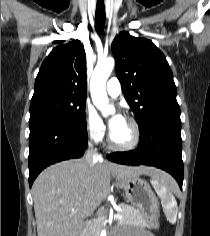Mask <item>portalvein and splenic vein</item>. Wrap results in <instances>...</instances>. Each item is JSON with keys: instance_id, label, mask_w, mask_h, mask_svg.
<instances>
[{"instance_id": "obj_1", "label": "portal vein and splenic vein", "mask_w": 210, "mask_h": 236, "mask_svg": "<svg viewBox=\"0 0 210 236\" xmlns=\"http://www.w3.org/2000/svg\"><path fill=\"white\" fill-rule=\"evenodd\" d=\"M123 218V215H121L120 213H117L114 215V219L120 220Z\"/></svg>"}]
</instances>
